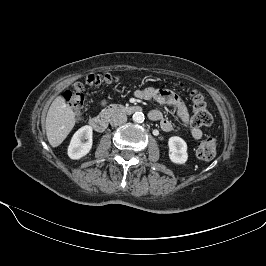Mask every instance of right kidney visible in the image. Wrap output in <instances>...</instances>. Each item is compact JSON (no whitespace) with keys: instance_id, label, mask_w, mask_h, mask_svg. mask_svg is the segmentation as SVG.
<instances>
[{"instance_id":"obj_1","label":"right kidney","mask_w":266,"mask_h":266,"mask_svg":"<svg viewBox=\"0 0 266 266\" xmlns=\"http://www.w3.org/2000/svg\"><path fill=\"white\" fill-rule=\"evenodd\" d=\"M92 127L89 125L81 127L77 130L68 146V156L77 160L86 156L92 148Z\"/></svg>"}]
</instances>
